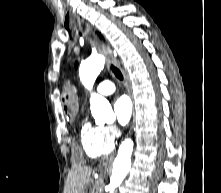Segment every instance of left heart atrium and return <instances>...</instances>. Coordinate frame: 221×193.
I'll return each mask as SVG.
<instances>
[{"mask_svg": "<svg viewBox=\"0 0 221 193\" xmlns=\"http://www.w3.org/2000/svg\"><path fill=\"white\" fill-rule=\"evenodd\" d=\"M114 113L117 121L121 125H126L132 115L133 108L130 99L126 95L118 97L113 104Z\"/></svg>", "mask_w": 221, "mask_h": 193, "instance_id": "39dd6f15", "label": "left heart atrium"}]
</instances>
